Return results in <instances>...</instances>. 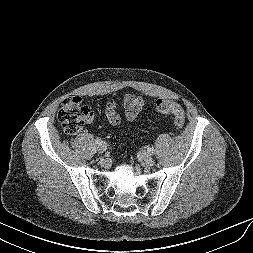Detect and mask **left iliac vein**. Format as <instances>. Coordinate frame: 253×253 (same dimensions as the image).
<instances>
[{"mask_svg":"<svg viewBox=\"0 0 253 253\" xmlns=\"http://www.w3.org/2000/svg\"><path fill=\"white\" fill-rule=\"evenodd\" d=\"M142 155L145 162L149 165H152L153 163L152 153L148 150H145L143 151Z\"/></svg>","mask_w":253,"mask_h":253,"instance_id":"left-iliac-vein-1","label":"left iliac vein"}]
</instances>
